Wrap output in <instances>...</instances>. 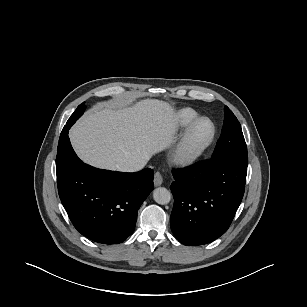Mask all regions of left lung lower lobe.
Listing matches in <instances>:
<instances>
[{"instance_id":"0a47b994","label":"left lung lower lobe","mask_w":307,"mask_h":307,"mask_svg":"<svg viewBox=\"0 0 307 307\" xmlns=\"http://www.w3.org/2000/svg\"><path fill=\"white\" fill-rule=\"evenodd\" d=\"M247 165L211 158L172 170L170 226L179 242L202 245L227 231L243 198Z\"/></svg>"}]
</instances>
